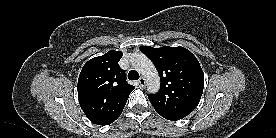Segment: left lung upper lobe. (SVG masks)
Segmentation results:
<instances>
[{
	"label": "left lung upper lobe",
	"mask_w": 276,
	"mask_h": 138,
	"mask_svg": "<svg viewBox=\"0 0 276 138\" xmlns=\"http://www.w3.org/2000/svg\"><path fill=\"white\" fill-rule=\"evenodd\" d=\"M140 50L158 69L161 88L148 94L156 112L168 120H179L198 105L204 87V74L196 57L186 48L141 46Z\"/></svg>",
	"instance_id": "1"
}]
</instances>
